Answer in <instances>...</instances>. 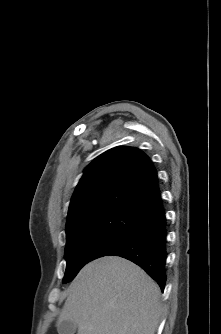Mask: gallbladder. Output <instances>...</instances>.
Returning a JSON list of instances; mask_svg holds the SVG:
<instances>
[{
    "label": "gallbladder",
    "mask_w": 221,
    "mask_h": 334,
    "mask_svg": "<svg viewBox=\"0 0 221 334\" xmlns=\"http://www.w3.org/2000/svg\"><path fill=\"white\" fill-rule=\"evenodd\" d=\"M76 324L72 321H62L57 326L58 334H75Z\"/></svg>",
    "instance_id": "gallbladder-1"
}]
</instances>
